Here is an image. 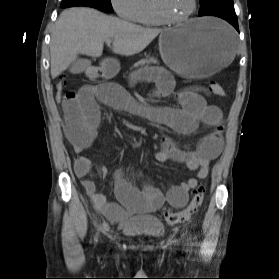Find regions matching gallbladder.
I'll use <instances>...</instances> for the list:
<instances>
[{
	"instance_id": "gallbladder-1",
	"label": "gallbladder",
	"mask_w": 279,
	"mask_h": 279,
	"mask_svg": "<svg viewBox=\"0 0 279 279\" xmlns=\"http://www.w3.org/2000/svg\"><path fill=\"white\" fill-rule=\"evenodd\" d=\"M90 66V62L85 59H78L74 61L70 67L72 74H80L84 72Z\"/></svg>"
}]
</instances>
